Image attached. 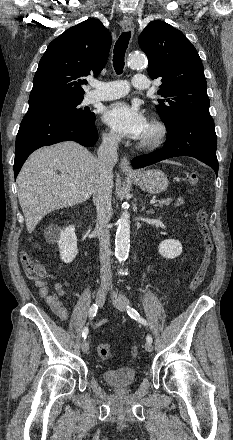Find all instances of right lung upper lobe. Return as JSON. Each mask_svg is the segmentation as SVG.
<instances>
[{
    "label": "right lung upper lobe",
    "mask_w": 233,
    "mask_h": 440,
    "mask_svg": "<svg viewBox=\"0 0 233 440\" xmlns=\"http://www.w3.org/2000/svg\"><path fill=\"white\" fill-rule=\"evenodd\" d=\"M111 35L96 19H88L54 39L33 79L29 105L60 98H83V78L105 66Z\"/></svg>",
    "instance_id": "cb5924a9"
}]
</instances>
